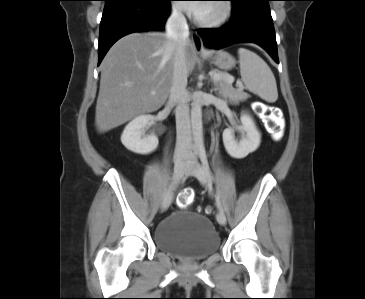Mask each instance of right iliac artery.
I'll use <instances>...</instances> for the list:
<instances>
[{
	"mask_svg": "<svg viewBox=\"0 0 365 299\" xmlns=\"http://www.w3.org/2000/svg\"><path fill=\"white\" fill-rule=\"evenodd\" d=\"M196 159H197V152L195 151L194 161H196ZM170 190H171V187L165 192L164 197L168 195V193L170 192Z\"/></svg>",
	"mask_w": 365,
	"mask_h": 299,
	"instance_id": "right-iliac-artery-1",
	"label": "right iliac artery"
}]
</instances>
